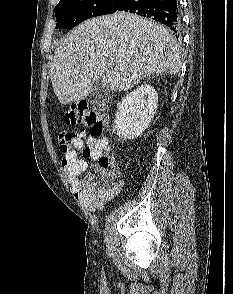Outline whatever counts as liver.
Segmentation results:
<instances>
[{
    "instance_id": "6515ba94",
    "label": "liver",
    "mask_w": 233,
    "mask_h": 294,
    "mask_svg": "<svg viewBox=\"0 0 233 294\" xmlns=\"http://www.w3.org/2000/svg\"><path fill=\"white\" fill-rule=\"evenodd\" d=\"M180 68L181 54L167 28L117 12L87 20L69 32L55 50L50 78L60 103L67 105L86 98L97 80L122 92L145 77L175 75Z\"/></svg>"
}]
</instances>
